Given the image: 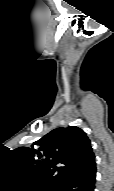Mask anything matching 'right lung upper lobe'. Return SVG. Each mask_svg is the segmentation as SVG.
Listing matches in <instances>:
<instances>
[{"instance_id": "1", "label": "right lung upper lobe", "mask_w": 114, "mask_h": 191, "mask_svg": "<svg viewBox=\"0 0 114 191\" xmlns=\"http://www.w3.org/2000/svg\"><path fill=\"white\" fill-rule=\"evenodd\" d=\"M16 153L38 178L53 188L96 169L91 142L76 126L54 129L30 148H17Z\"/></svg>"}]
</instances>
